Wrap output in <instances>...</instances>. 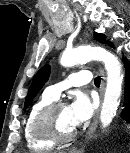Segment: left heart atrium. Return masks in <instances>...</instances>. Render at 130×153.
I'll return each mask as SVG.
<instances>
[{
    "mask_svg": "<svg viewBox=\"0 0 130 153\" xmlns=\"http://www.w3.org/2000/svg\"><path fill=\"white\" fill-rule=\"evenodd\" d=\"M97 102L85 93L75 95L69 106L72 124L76 127L87 122L94 114Z\"/></svg>",
    "mask_w": 130,
    "mask_h": 153,
    "instance_id": "obj_1",
    "label": "left heart atrium"
}]
</instances>
